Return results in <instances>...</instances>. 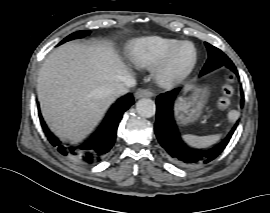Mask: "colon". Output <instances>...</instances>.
<instances>
[{
	"mask_svg": "<svg viewBox=\"0 0 270 213\" xmlns=\"http://www.w3.org/2000/svg\"><path fill=\"white\" fill-rule=\"evenodd\" d=\"M234 93L232 85L227 82L225 83L222 88H221V97L219 100V104L221 107L225 108L229 105L230 103V98L232 97Z\"/></svg>",
	"mask_w": 270,
	"mask_h": 213,
	"instance_id": "1",
	"label": "colon"
}]
</instances>
